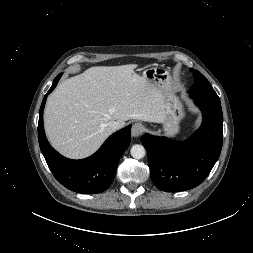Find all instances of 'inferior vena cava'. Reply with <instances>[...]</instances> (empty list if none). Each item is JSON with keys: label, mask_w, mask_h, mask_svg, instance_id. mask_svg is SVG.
<instances>
[{"label": "inferior vena cava", "mask_w": 253, "mask_h": 253, "mask_svg": "<svg viewBox=\"0 0 253 253\" xmlns=\"http://www.w3.org/2000/svg\"><path fill=\"white\" fill-rule=\"evenodd\" d=\"M108 126L113 130H117L118 128H120V123L117 121H111L108 123Z\"/></svg>", "instance_id": "obj_1"}]
</instances>
